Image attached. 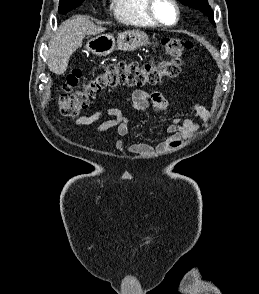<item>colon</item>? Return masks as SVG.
<instances>
[{
  "label": "colon",
  "instance_id": "1",
  "mask_svg": "<svg viewBox=\"0 0 259 294\" xmlns=\"http://www.w3.org/2000/svg\"><path fill=\"white\" fill-rule=\"evenodd\" d=\"M162 46L168 58L158 64L139 63L137 61H118L91 76L81 88L78 87L82 71L77 69L69 74L58 96L60 113L66 117H76L87 109L91 100L103 89L119 86L144 87L160 83L164 78L179 75L182 65V54L192 47L187 40L167 37Z\"/></svg>",
  "mask_w": 259,
  "mask_h": 294
}]
</instances>
